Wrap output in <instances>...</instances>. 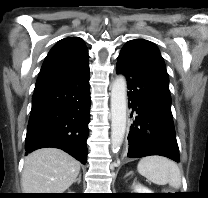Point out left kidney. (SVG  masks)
Instances as JSON below:
<instances>
[{"label": "left kidney", "instance_id": "1", "mask_svg": "<svg viewBox=\"0 0 208 198\" xmlns=\"http://www.w3.org/2000/svg\"><path fill=\"white\" fill-rule=\"evenodd\" d=\"M134 190H135V193H153L152 191H150V189L140 184L134 185Z\"/></svg>", "mask_w": 208, "mask_h": 198}]
</instances>
